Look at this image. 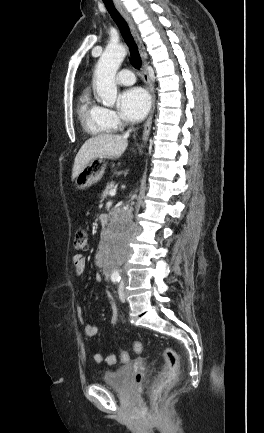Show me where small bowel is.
Returning <instances> with one entry per match:
<instances>
[{"label": "small bowel", "mask_w": 264, "mask_h": 433, "mask_svg": "<svg viewBox=\"0 0 264 433\" xmlns=\"http://www.w3.org/2000/svg\"><path fill=\"white\" fill-rule=\"evenodd\" d=\"M73 263H74L76 275L81 276L85 270V267H86V258L82 254H76L73 257ZM95 279L97 282L102 281V277L100 274H97L95 276ZM77 312H78L79 320L83 323V321H84L83 320V314H82V310L80 307L78 308ZM111 322L112 323L117 322L116 314H113V316L111 318ZM83 329H84V333L87 337H95L98 334V327L96 325L84 323ZM91 359L97 364L105 361L109 365L115 364L116 360H117L115 355H109L104 359L103 356L98 352H92L91 353Z\"/></svg>", "instance_id": "c3829d8e"}]
</instances>
